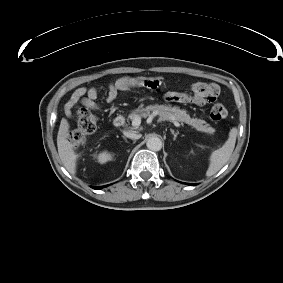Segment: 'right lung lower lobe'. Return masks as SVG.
Returning <instances> with one entry per match:
<instances>
[{
  "label": "right lung lower lobe",
  "instance_id": "right-lung-lower-lobe-1",
  "mask_svg": "<svg viewBox=\"0 0 283 283\" xmlns=\"http://www.w3.org/2000/svg\"><path fill=\"white\" fill-rule=\"evenodd\" d=\"M104 186L93 187L94 189H102Z\"/></svg>",
  "mask_w": 283,
  "mask_h": 283
}]
</instances>
